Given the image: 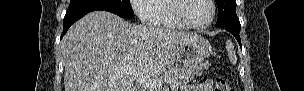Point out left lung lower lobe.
Instances as JSON below:
<instances>
[{
  "mask_svg": "<svg viewBox=\"0 0 304 91\" xmlns=\"http://www.w3.org/2000/svg\"><path fill=\"white\" fill-rule=\"evenodd\" d=\"M240 28H241V26H238V27L230 26V27H226L225 29L234 35V37L237 39V41L239 42V44L241 46V40H240V36H239Z\"/></svg>",
  "mask_w": 304,
  "mask_h": 91,
  "instance_id": "left-lung-lower-lobe-1",
  "label": "left lung lower lobe"
}]
</instances>
